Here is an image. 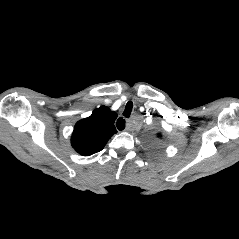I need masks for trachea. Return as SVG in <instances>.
Returning <instances> with one entry per match:
<instances>
[{
    "mask_svg": "<svg viewBox=\"0 0 239 239\" xmlns=\"http://www.w3.org/2000/svg\"><path fill=\"white\" fill-rule=\"evenodd\" d=\"M132 109H133V103L131 101H129L127 104H126V107H125V110L123 112V115L125 117H129L131 112H132Z\"/></svg>",
    "mask_w": 239,
    "mask_h": 239,
    "instance_id": "obj_1",
    "label": "trachea"
}]
</instances>
